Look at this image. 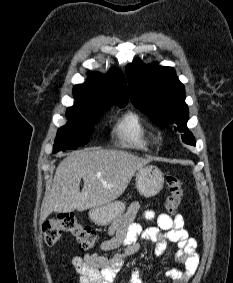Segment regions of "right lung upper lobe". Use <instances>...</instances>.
<instances>
[{"label":"right lung upper lobe","mask_w":233,"mask_h":283,"mask_svg":"<svg viewBox=\"0 0 233 283\" xmlns=\"http://www.w3.org/2000/svg\"><path fill=\"white\" fill-rule=\"evenodd\" d=\"M88 75L85 84L73 88L76 103L86 106L127 104V86L120 70L111 69L106 75L89 72Z\"/></svg>","instance_id":"obj_1"}]
</instances>
